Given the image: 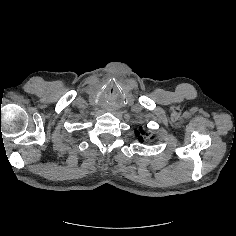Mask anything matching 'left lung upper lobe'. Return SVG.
<instances>
[{"instance_id": "1", "label": "left lung upper lobe", "mask_w": 236, "mask_h": 236, "mask_svg": "<svg viewBox=\"0 0 236 236\" xmlns=\"http://www.w3.org/2000/svg\"><path fill=\"white\" fill-rule=\"evenodd\" d=\"M140 133L143 134V131H142L141 128H140L139 131H136V135H140ZM138 139H139L140 141H142V137H141V136H139Z\"/></svg>"}]
</instances>
